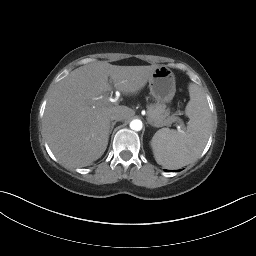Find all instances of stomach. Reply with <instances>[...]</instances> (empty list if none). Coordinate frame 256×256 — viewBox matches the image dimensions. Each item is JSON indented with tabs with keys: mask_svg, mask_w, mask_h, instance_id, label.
Returning a JSON list of instances; mask_svg holds the SVG:
<instances>
[{
	"mask_svg": "<svg viewBox=\"0 0 256 256\" xmlns=\"http://www.w3.org/2000/svg\"><path fill=\"white\" fill-rule=\"evenodd\" d=\"M149 88L155 100L170 103L176 92L174 73L166 66H159L149 79Z\"/></svg>",
	"mask_w": 256,
	"mask_h": 256,
	"instance_id": "1",
	"label": "stomach"
}]
</instances>
